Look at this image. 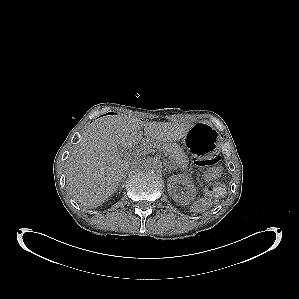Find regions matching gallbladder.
Masks as SVG:
<instances>
[{"label":"gallbladder","instance_id":"1","mask_svg":"<svg viewBox=\"0 0 299 299\" xmlns=\"http://www.w3.org/2000/svg\"><path fill=\"white\" fill-rule=\"evenodd\" d=\"M118 151H119V154H120V155H124V154H126L125 150H124V149H121L120 147L118 148Z\"/></svg>","mask_w":299,"mask_h":299}]
</instances>
